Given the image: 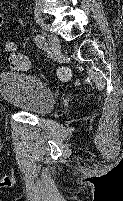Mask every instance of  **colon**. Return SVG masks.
<instances>
[{"instance_id": "1", "label": "colon", "mask_w": 123, "mask_h": 201, "mask_svg": "<svg viewBox=\"0 0 123 201\" xmlns=\"http://www.w3.org/2000/svg\"><path fill=\"white\" fill-rule=\"evenodd\" d=\"M5 52L7 55V62L11 68L17 70H25L29 68V58L26 55L19 53L12 42H7L5 44ZM58 76L61 79L69 80L72 77V74L67 68H60Z\"/></svg>"}]
</instances>
